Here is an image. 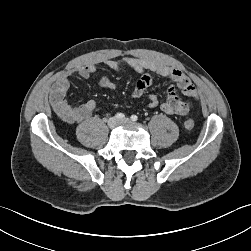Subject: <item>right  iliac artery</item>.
<instances>
[{"mask_svg": "<svg viewBox=\"0 0 251 251\" xmlns=\"http://www.w3.org/2000/svg\"><path fill=\"white\" fill-rule=\"evenodd\" d=\"M115 117H116L117 119H123V118H125V115H124L123 113H117V114L115 115Z\"/></svg>", "mask_w": 251, "mask_h": 251, "instance_id": "right-iliac-artery-1", "label": "right iliac artery"}]
</instances>
